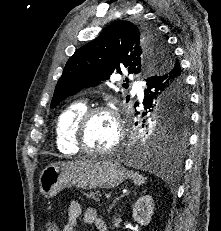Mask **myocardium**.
<instances>
[{
    "label": "myocardium",
    "mask_w": 221,
    "mask_h": 231,
    "mask_svg": "<svg viewBox=\"0 0 221 231\" xmlns=\"http://www.w3.org/2000/svg\"><path fill=\"white\" fill-rule=\"evenodd\" d=\"M99 113H106L113 118L117 129V139L110 148L102 151H95L87 148L85 142V134H86V128L89 120L94 115ZM124 137H125L124 123L121 119L119 110L115 106L97 105V106L89 107L79 116L75 124L74 144L79 149V151L91 156L103 157L112 154L113 152H115L117 149L120 148L124 140Z\"/></svg>",
    "instance_id": "myocardium-1"
}]
</instances>
